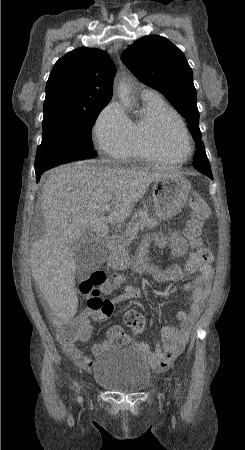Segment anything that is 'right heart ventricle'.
<instances>
[{
  "instance_id": "e07e8e85",
  "label": "right heart ventricle",
  "mask_w": 245,
  "mask_h": 450,
  "mask_svg": "<svg viewBox=\"0 0 245 450\" xmlns=\"http://www.w3.org/2000/svg\"><path fill=\"white\" fill-rule=\"evenodd\" d=\"M144 115L132 122V148L130 156L134 161L170 162L173 159L156 151L150 143V131L159 118L170 116L182 124L179 114L159 95L142 97Z\"/></svg>"
}]
</instances>
